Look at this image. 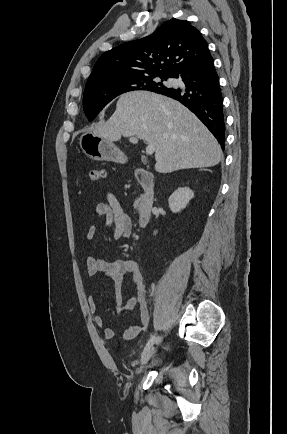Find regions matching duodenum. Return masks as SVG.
Masks as SVG:
<instances>
[{"mask_svg": "<svg viewBox=\"0 0 287 434\" xmlns=\"http://www.w3.org/2000/svg\"><path fill=\"white\" fill-rule=\"evenodd\" d=\"M135 177L144 191L137 204L138 224L140 227H146L151 220V210L154 202V178L145 169L136 170Z\"/></svg>", "mask_w": 287, "mask_h": 434, "instance_id": "410a0bca", "label": "duodenum"}]
</instances>
